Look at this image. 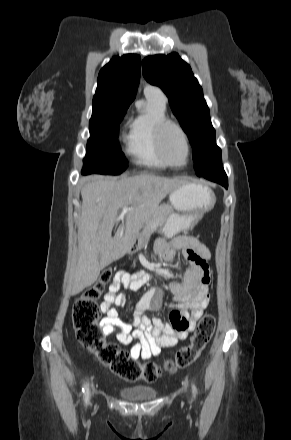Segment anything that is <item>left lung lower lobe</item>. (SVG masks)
Segmentation results:
<instances>
[{
    "label": "left lung lower lobe",
    "mask_w": 291,
    "mask_h": 440,
    "mask_svg": "<svg viewBox=\"0 0 291 440\" xmlns=\"http://www.w3.org/2000/svg\"><path fill=\"white\" fill-rule=\"evenodd\" d=\"M201 177L219 183L225 188H228V178L223 169L222 163L214 167L212 170L204 173L201 175Z\"/></svg>",
    "instance_id": "obj_1"
}]
</instances>
